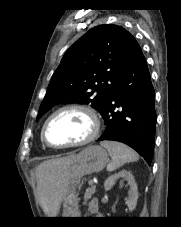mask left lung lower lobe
I'll use <instances>...</instances> for the list:
<instances>
[{"label":"left lung lower lobe","mask_w":181,"mask_h":227,"mask_svg":"<svg viewBox=\"0 0 181 227\" xmlns=\"http://www.w3.org/2000/svg\"><path fill=\"white\" fill-rule=\"evenodd\" d=\"M102 116L106 129L98 141L123 142L150 164L155 145V92L140 47L116 84Z\"/></svg>","instance_id":"obj_1"}]
</instances>
